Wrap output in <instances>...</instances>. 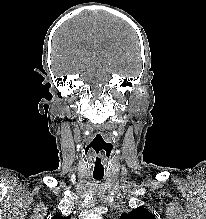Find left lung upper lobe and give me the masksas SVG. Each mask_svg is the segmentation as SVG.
<instances>
[{"label": "left lung upper lobe", "instance_id": "left-lung-upper-lobe-1", "mask_svg": "<svg viewBox=\"0 0 206 219\" xmlns=\"http://www.w3.org/2000/svg\"><path fill=\"white\" fill-rule=\"evenodd\" d=\"M120 219H156V218L146 208L138 207L136 209H133L130 213L121 214Z\"/></svg>", "mask_w": 206, "mask_h": 219}]
</instances>
